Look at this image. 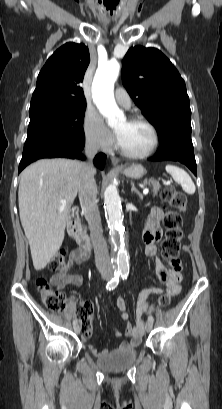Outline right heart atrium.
I'll list each match as a JSON object with an SVG mask.
<instances>
[{
    "label": "right heart atrium",
    "mask_w": 222,
    "mask_h": 409,
    "mask_svg": "<svg viewBox=\"0 0 222 409\" xmlns=\"http://www.w3.org/2000/svg\"><path fill=\"white\" fill-rule=\"evenodd\" d=\"M83 132L86 142L95 149L103 152H109L112 149V137L100 115L93 109L85 111Z\"/></svg>",
    "instance_id": "right-heart-atrium-1"
}]
</instances>
